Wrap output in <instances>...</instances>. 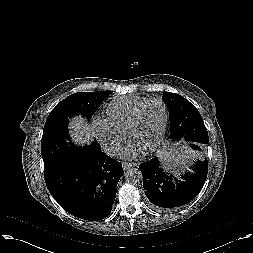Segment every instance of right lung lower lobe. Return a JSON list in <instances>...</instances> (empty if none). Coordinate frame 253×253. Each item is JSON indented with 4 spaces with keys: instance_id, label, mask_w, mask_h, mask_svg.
<instances>
[{
    "instance_id": "1",
    "label": "right lung lower lobe",
    "mask_w": 253,
    "mask_h": 253,
    "mask_svg": "<svg viewBox=\"0 0 253 253\" xmlns=\"http://www.w3.org/2000/svg\"><path fill=\"white\" fill-rule=\"evenodd\" d=\"M122 164L97 149H86L78 158L44 168L47 188L71 215L90 221L106 218L123 176Z\"/></svg>"
}]
</instances>
